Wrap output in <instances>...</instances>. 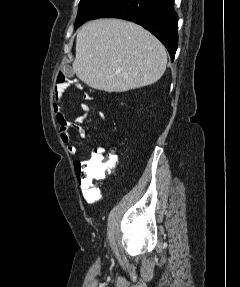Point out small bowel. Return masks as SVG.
I'll return each instance as SVG.
<instances>
[{
  "label": "small bowel",
  "instance_id": "1",
  "mask_svg": "<svg viewBox=\"0 0 240 287\" xmlns=\"http://www.w3.org/2000/svg\"><path fill=\"white\" fill-rule=\"evenodd\" d=\"M71 86V84L67 83L64 87L58 98L54 101L53 104V113L57 124L59 125V131L61 139L64 143L67 144V149L69 152L73 153L75 151V146L71 143L70 130L74 129L77 131L79 137L81 139H85L87 136V131L84 127V122L89 112V106L86 103H82L80 106L81 114L76 117L74 120H67L62 110V97L66 90ZM75 87H80L79 84H74ZM83 99L85 101H92V95L88 93H84ZM99 119L104 121L106 119L105 114L103 112H99ZM106 152L105 146H97L92 150V159H99L104 157ZM85 197L89 202H93L95 200V194L93 191L89 193H85Z\"/></svg>",
  "mask_w": 240,
  "mask_h": 287
}]
</instances>
